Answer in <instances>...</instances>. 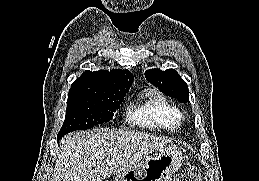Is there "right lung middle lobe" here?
Segmentation results:
<instances>
[{
    "instance_id": "1",
    "label": "right lung middle lobe",
    "mask_w": 259,
    "mask_h": 181,
    "mask_svg": "<svg viewBox=\"0 0 259 181\" xmlns=\"http://www.w3.org/2000/svg\"><path fill=\"white\" fill-rule=\"evenodd\" d=\"M123 99L124 96L69 93L66 117L58 136L63 137L69 132L87 130L94 125L108 122Z\"/></svg>"
}]
</instances>
